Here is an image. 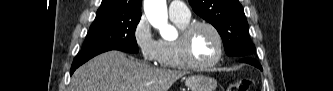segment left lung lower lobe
<instances>
[{"label":"left lung lower lobe","instance_id":"0a47b994","mask_svg":"<svg viewBox=\"0 0 333 91\" xmlns=\"http://www.w3.org/2000/svg\"><path fill=\"white\" fill-rule=\"evenodd\" d=\"M240 61L244 62V63L251 64V65H253V66H255V67H257V68H259V69L262 70V67L260 66V64L255 59H253L252 56H250V57H242V58H240Z\"/></svg>","mask_w":333,"mask_h":91}]
</instances>
